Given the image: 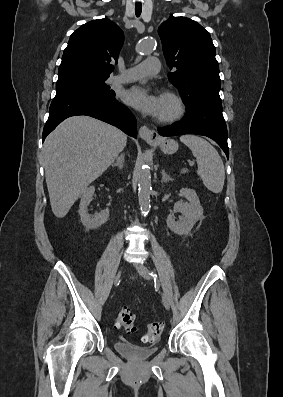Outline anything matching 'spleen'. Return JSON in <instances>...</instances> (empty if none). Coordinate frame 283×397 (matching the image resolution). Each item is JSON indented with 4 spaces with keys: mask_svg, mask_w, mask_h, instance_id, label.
<instances>
[{
    "mask_svg": "<svg viewBox=\"0 0 283 397\" xmlns=\"http://www.w3.org/2000/svg\"><path fill=\"white\" fill-rule=\"evenodd\" d=\"M180 141L193 153L197 160V174L205 187L213 193H220L224 186L225 170L217 150L205 139L195 135H183ZM187 172L183 169L182 173Z\"/></svg>",
    "mask_w": 283,
    "mask_h": 397,
    "instance_id": "spleen-1",
    "label": "spleen"
}]
</instances>
